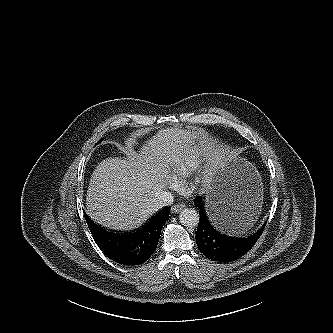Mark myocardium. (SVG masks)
<instances>
[{
	"label": "myocardium",
	"mask_w": 333,
	"mask_h": 333,
	"mask_svg": "<svg viewBox=\"0 0 333 333\" xmlns=\"http://www.w3.org/2000/svg\"><path fill=\"white\" fill-rule=\"evenodd\" d=\"M198 185L204 186L208 183V179L206 177H200L196 180Z\"/></svg>",
	"instance_id": "obj_1"
}]
</instances>
